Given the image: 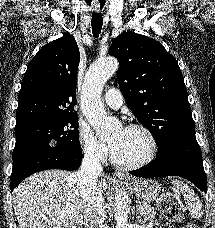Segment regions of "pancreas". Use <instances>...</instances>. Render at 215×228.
I'll use <instances>...</instances> for the list:
<instances>
[{
  "mask_svg": "<svg viewBox=\"0 0 215 228\" xmlns=\"http://www.w3.org/2000/svg\"><path fill=\"white\" fill-rule=\"evenodd\" d=\"M140 214L143 222H151V224H153V220L156 218L154 208H146V210H144V212H140Z\"/></svg>",
  "mask_w": 215,
  "mask_h": 228,
  "instance_id": "1",
  "label": "pancreas"
}]
</instances>
